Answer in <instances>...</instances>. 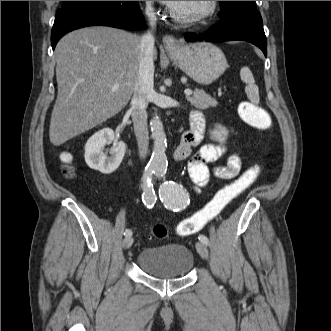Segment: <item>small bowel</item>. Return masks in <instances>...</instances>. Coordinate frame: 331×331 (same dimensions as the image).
Masks as SVG:
<instances>
[{"label":"small bowel","mask_w":331,"mask_h":331,"mask_svg":"<svg viewBox=\"0 0 331 331\" xmlns=\"http://www.w3.org/2000/svg\"><path fill=\"white\" fill-rule=\"evenodd\" d=\"M205 119L202 113L194 111L190 116V129L182 134L181 141L173 153L178 161L188 160V174L193 183L204 186L211 176L223 180H233L240 175L241 159L237 154H231L225 165H213L224 154L225 149L215 144H204L197 152L192 149L198 146L204 137Z\"/></svg>","instance_id":"obj_1"}]
</instances>
